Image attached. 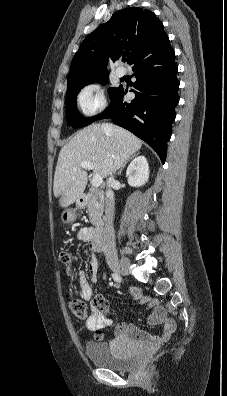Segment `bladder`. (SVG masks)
I'll list each match as a JSON object with an SVG mask.
<instances>
[{
  "label": "bladder",
  "mask_w": 227,
  "mask_h": 396,
  "mask_svg": "<svg viewBox=\"0 0 227 396\" xmlns=\"http://www.w3.org/2000/svg\"><path fill=\"white\" fill-rule=\"evenodd\" d=\"M85 353L91 363L117 372L131 370L137 364L135 353L126 350L120 343L104 344L87 342Z\"/></svg>",
  "instance_id": "31cf9c89"
}]
</instances>
